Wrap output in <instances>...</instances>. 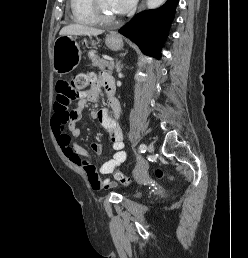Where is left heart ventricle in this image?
<instances>
[{"mask_svg":"<svg viewBox=\"0 0 248 258\" xmlns=\"http://www.w3.org/2000/svg\"><path fill=\"white\" fill-rule=\"evenodd\" d=\"M101 8L105 14L116 17L117 13L113 10L110 0H101Z\"/></svg>","mask_w":248,"mask_h":258,"instance_id":"obj_1","label":"left heart ventricle"}]
</instances>
